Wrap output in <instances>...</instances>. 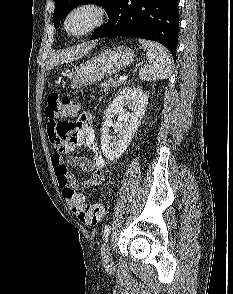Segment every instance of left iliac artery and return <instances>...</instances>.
I'll use <instances>...</instances> for the list:
<instances>
[{"instance_id": "left-iliac-artery-1", "label": "left iliac artery", "mask_w": 233, "mask_h": 294, "mask_svg": "<svg viewBox=\"0 0 233 294\" xmlns=\"http://www.w3.org/2000/svg\"><path fill=\"white\" fill-rule=\"evenodd\" d=\"M109 234H110V226L109 225H105V227H104V234H103L104 241H107L108 240Z\"/></svg>"}]
</instances>
